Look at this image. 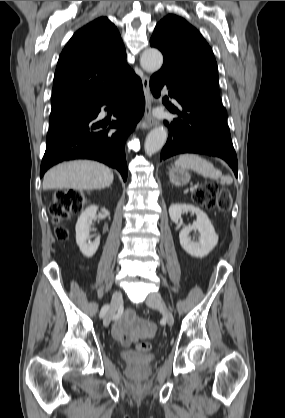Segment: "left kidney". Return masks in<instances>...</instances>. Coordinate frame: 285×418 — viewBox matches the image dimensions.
<instances>
[{
    "instance_id": "5707ae66",
    "label": "left kidney",
    "mask_w": 285,
    "mask_h": 418,
    "mask_svg": "<svg viewBox=\"0 0 285 418\" xmlns=\"http://www.w3.org/2000/svg\"><path fill=\"white\" fill-rule=\"evenodd\" d=\"M190 212L195 214L197 219L192 225L182 228L179 233L181 247L191 256L202 258L207 256L217 245L218 235L205 212L199 207L189 204H172L169 207V215L171 220L178 224L184 213ZM198 230L199 241H193L189 236L190 232Z\"/></svg>"
}]
</instances>
